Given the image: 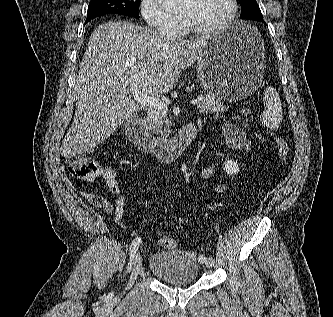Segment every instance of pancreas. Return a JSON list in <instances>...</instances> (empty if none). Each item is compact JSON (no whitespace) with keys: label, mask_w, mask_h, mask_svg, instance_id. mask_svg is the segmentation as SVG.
Instances as JSON below:
<instances>
[{"label":"pancreas","mask_w":333,"mask_h":317,"mask_svg":"<svg viewBox=\"0 0 333 317\" xmlns=\"http://www.w3.org/2000/svg\"><path fill=\"white\" fill-rule=\"evenodd\" d=\"M199 113H216L223 112L228 109L219 99L212 95H207L198 105ZM146 121L148 126L155 134L164 136L170 132L171 117L167 112L152 110L148 113Z\"/></svg>","instance_id":"pancreas-1"}]
</instances>
